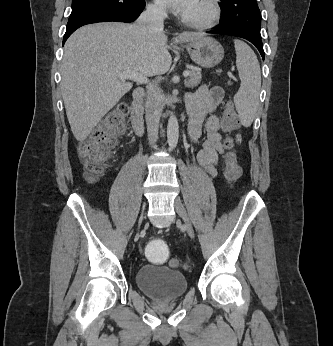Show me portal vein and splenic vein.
<instances>
[{
  "label": "portal vein and splenic vein",
  "mask_w": 333,
  "mask_h": 346,
  "mask_svg": "<svg viewBox=\"0 0 333 346\" xmlns=\"http://www.w3.org/2000/svg\"><path fill=\"white\" fill-rule=\"evenodd\" d=\"M119 76H120V78L129 79V80L135 81V82L140 83V84H147L149 82L147 77L143 76L142 74H140L138 72L132 71V70H126L125 72L121 73ZM183 76L188 77L189 71H184Z\"/></svg>",
  "instance_id": "1"
}]
</instances>
